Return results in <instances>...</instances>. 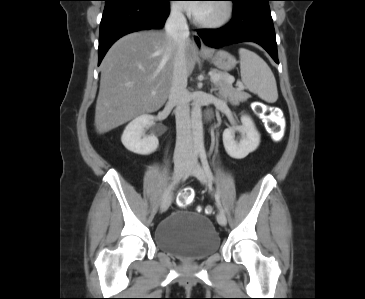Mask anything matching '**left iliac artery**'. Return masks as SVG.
<instances>
[{"mask_svg": "<svg viewBox=\"0 0 365 299\" xmlns=\"http://www.w3.org/2000/svg\"><path fill=\"white\" fill-rule=\"evenodd\" d=\"M199 154H200V159H201L203 168H204L207 176L209 177L210 180H213L214 177H213L212 171L210 169V166L208 164V160H207V157H206V151H205V149L204 148L200 149ZM215 200H216V205H217L218 209L220 210V212H222V213L225 214V211H224V209H223V207L221 205V202H220L219 191H217L216 194H215Z\"/></svg>", "mask_w": 365, "mask_h": 299, "instance_id": "left-iliac-artery-1", "label": "left iliac artery"}]
</instances>
